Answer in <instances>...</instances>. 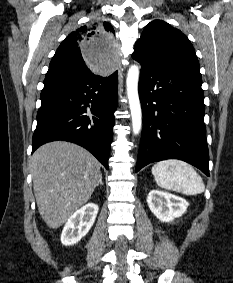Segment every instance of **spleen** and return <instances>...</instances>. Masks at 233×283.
I'll list each match as a JSON object with an SVG mask.
<instances>
[{
	"instance_id": "1",
	"label": "spleen",
	"mask_w": 233,
	"mask_h": 283,
	"mask_svg": "<svg viewBox=\"0 0 233 283\" xmlns=\"http://www.w3.org/2000/svg\"><path fill=\"white\" fill-rule=\"evenodd\" d=\"M152 174L161 188L186 195L201 194L205 185L201 176L189 164L180 160H164L152 167Z\"/></svg>"
}]
</instances>
